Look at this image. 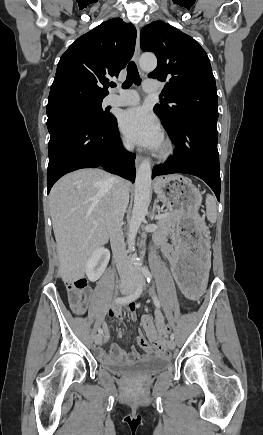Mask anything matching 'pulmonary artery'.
I'll return each mask as SVG.
<instances>
[{
	"label": "pulmonary artery",
	"instance_id": "obj_1",
	"mask_svg": "<svg viewBox=\"0 0 263 435\" xmlns=\"http://www.w3.org/2000/svg\"><path fill=\"white\" fill-rule=\"evenodd\" d=\"M143 89L146 93H155L159 90V84L155 80H147L144 83ZM139 95L136 91L127 90L120 91L119 94H111L105 98L107 105L113 106H130L139 103Z\"/></svg>",
	"mask_w": 263,
	"mask_h": 435
}]
</instances>
